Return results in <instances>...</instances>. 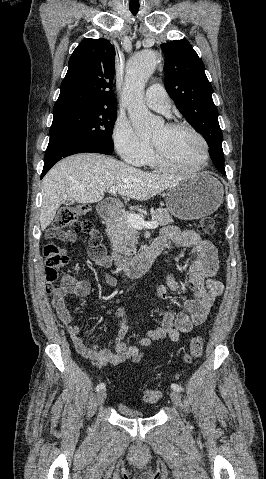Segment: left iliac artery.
<instances>
[{
  "label": "left iliac artery",
  "instance_id": "1",
  "mask_svg": "<svg viewBox=\"0 0 266 479\" xmlns=\"http://www.w3.org/2000/svg\"><path fill=\"white\" fill-rule=\"evenodd\" d=\"M171 388H172L174 391H178V392L183 391V388H182L180 385L176 384V383H172V384H171Z\"/></svg>",
  "mask_w": 266,
  "mask_h": 479
}]
</instances>
